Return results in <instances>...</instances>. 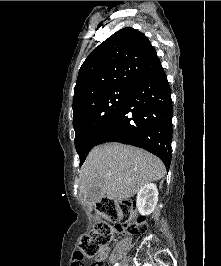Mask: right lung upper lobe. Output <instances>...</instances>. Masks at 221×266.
Listing matches in <instances>:
<instances>
[{"mask_svg": "<svg viewBox=\"0 0 221 266\" xmlns=\"http://www.w3.org/2000/svg\"><path fill=\"white\" fill-rule=\"evenodd\" d=\"M161 65L148 38L131 27L101 43L82 64L74 88L73 113L92 94L133 85Z\"/></svg>", "mask_w": 221, "mask_h": 266, "instance_id": "right-lung-upper-lobe-1", "label": "right lung upper lobe"}]
</instances>
